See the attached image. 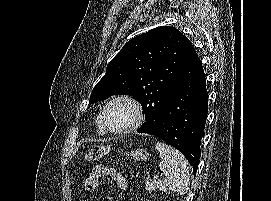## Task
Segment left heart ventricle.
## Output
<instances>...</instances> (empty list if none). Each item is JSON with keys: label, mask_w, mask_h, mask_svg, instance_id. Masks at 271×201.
Here are the masks:
<instances>
[{"label": "left heart ventricle", "mask_w": 271, "mask_h": 201, "mask_svg": "<svg viewBox=\"0 0 271 201\" xmlns=\"http://www.w3.org/2000/svg\"><path fill=\"white\" fill-rule=\"evenodd\" d=\"M106 119L111 127L122 129L134 122L135 112L130 104L119 101L108 107L106 111Z\"/></svg>", "instance_id": "1"}]
</instances>
